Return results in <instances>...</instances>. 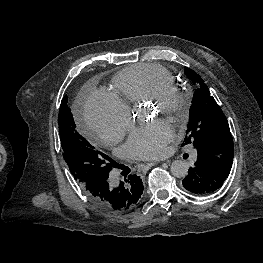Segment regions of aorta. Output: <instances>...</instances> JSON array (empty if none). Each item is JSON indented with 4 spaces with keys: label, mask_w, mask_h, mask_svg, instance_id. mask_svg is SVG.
Returning <instances> with one entry per match:
<instances>
[{
    "label": "aorta",
    "mask_w": 263,
    "mask_h": 263,
    "mask_svg": "<svg viewBox=\"0 0 263 263\" xmlns=\"http://www.w3.org/2000/svg\"><path fill=\"white\" fill-rule=\"evenodd\" d=\"M171 173L177 178H184L189 170V165L185 160H175L170 167Z\"/></svg>",
    "instance_id": "1"
}]
</instances>
